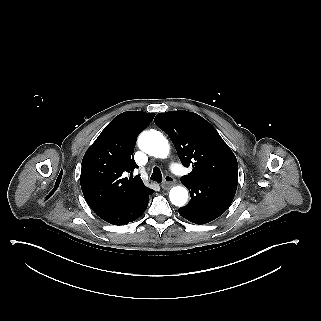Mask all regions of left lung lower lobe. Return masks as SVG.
Returning a JSON list of instances; mask_svg holds the SVG:
<instances>
[{"label": "left lung lower lobe", "instance_id": "left-lung-lower-lobe-1", "mask_svg": "<svg viewBox=\"0 0 321 321\" xmlns=\"http://www.w3.org/2000/svg\"><path fill=\"white\" fill-rule=\"evenodd\" d=\"M238 177H219L182 182L191 200L179 209V214L195 224H205L223 214L231 205L237 189Z\"/></svg>", "mask_w": 321, "mask_h": 321}]
</instances>
